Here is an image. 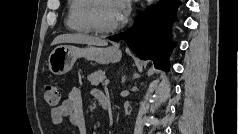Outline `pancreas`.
Instances as JSON below:
<instances>
[{"label":"pancreas","instance_id":"1","mask_svg":"<svg viewBox=\"0 0 239 134\" xmlns=\"http://www.w3.org/2000/svg\"><path fill=\"white\" fill-rule=\"evenodd\" d=\"M88 81L91 82L92 85L98 86L100 83H103L105 80V72L102 70H98L91 75L88 76Z\"/></svg>","mask_w":239,"mask_h":134}]
</instances>
